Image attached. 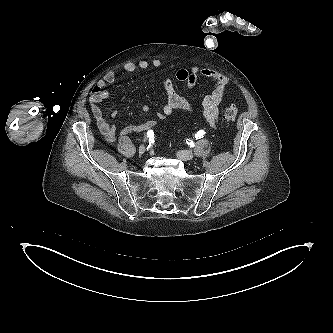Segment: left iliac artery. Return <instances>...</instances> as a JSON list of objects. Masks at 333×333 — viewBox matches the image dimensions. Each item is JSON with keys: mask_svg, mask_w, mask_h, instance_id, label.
Returning <instances> with one entry per match:
<instances>
[{"mask_svg": "<svg viewBox=\"0 0 333 333\" xmlns=\"http://www.w3.org/2000/svg\"><path fill=\"white\" fill-rule=\"evenodd\" d=\"M205 135V131L204 130H200L197 132V134H195V138L196 139H200Z\"/></svg>", "mask_w": 333, "mask_h": 333, "instance_id": "obj_1", "label": "left iliac artery"}]
</instances>
